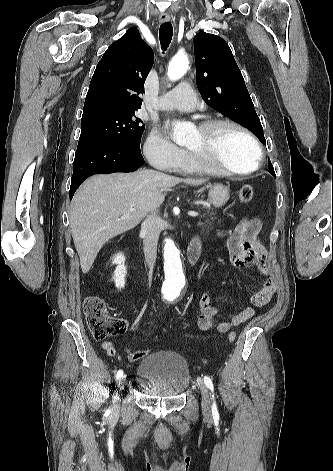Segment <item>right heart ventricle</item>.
<instances>
[{
	"instance_id": "1",
	"label": "right heart ventricle",
	"mask_w": 333,
	"mask_h": 471,
	"mask_svg": "<svg viewBox=\"0 0 333 471\" xmlns=\"http://www.w3.org/2000/svg\"><path fill=\"white\" fill-rule=\"evenodd\" d=\"M178 170L184 173H210L209 171L193 164L189 158H186Z\"/></svg>"
}]
</instances>
